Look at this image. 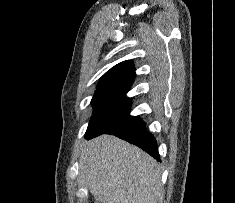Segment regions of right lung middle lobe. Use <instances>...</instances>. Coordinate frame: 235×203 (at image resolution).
I'll return each instance as SVG.
<instances>
[{"instance_id": "obj_1", "label": "right lung middle lobe", "mask_w": 235, "mask_h": 203, "mask_svg": "<svg viewBox=\"0 0 235 203\" xmlns=\"http://www.w3.org/2000/svg\"><path fill=\"white\" fill-rule=\"evenodd\" d=\"M129 89L130 85L97 87L91 101V104L94 107V112L86 134L94 130L105 120L130 106L131 100L125 96Z\"/></svg>"}]
</instances>
